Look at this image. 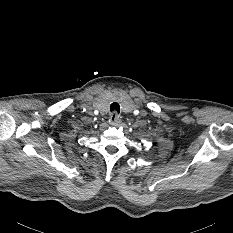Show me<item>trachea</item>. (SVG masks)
Returning <instances> with one entry per match:
<instances>
[{
  "instance_id": "obj_1",
  "label": "trachea",
  "mask_w": 233,
  "mask_h": 233,
  "mask_svg": "<svg viewBox=\"0 0 233 233\" xmlns=\"http://www.w3.org/2000/svg\"><path fill=\"white\" fill-rule=\"evenodd\" d=\"M110 110L119 113L120 112V105L117 102H113L110 105Z\"/></svg>"
}]
</instances>
